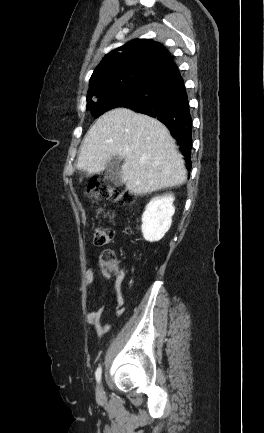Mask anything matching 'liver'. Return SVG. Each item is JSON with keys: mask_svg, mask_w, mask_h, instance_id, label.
Returning <instances> with one entry per match:
<instances>
[{"mask_svg": "<svg viewBox=\"0 0 264 433\" xmlns=\"http://www.w3.org/2000/svg\"><path fill=\"white\" fill-rule=\"evenodd\" d=\"M118 156L121 182L135 195L183 184L186 169L168 129L158 120L117 108L99 117L80 148L77 168L100 173ZM81 181V179H80Z\"/></svg>", "mask_w": 264, "mask_h": 433, "instance_id": "6515ba94", "label": "liver"}]
</instances>
